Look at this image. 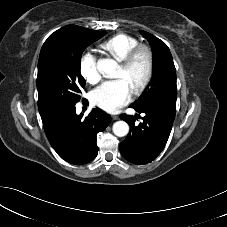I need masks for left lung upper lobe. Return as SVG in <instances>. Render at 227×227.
Masks as SVG:
<instances>
[{
  "label": "left lung upper lobe",
  "instance_id": "5c2ea615",
  "mask_svg": "<svg viewBox=\"0 0 227 227\" xmlns=\"http://www.w3.org/2000/svg\"><path fill=\"white\" fill-rule=\"evenodd\" d=\"M150 42L155 59V75L147 92L129 107L136 111L157 106L176 111V69L168 46L152 34L140 31Z\"/></svg>",
  "mask_w": 227,
  "mask_h": 227
}]
</instances>
